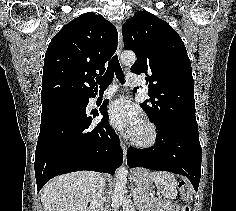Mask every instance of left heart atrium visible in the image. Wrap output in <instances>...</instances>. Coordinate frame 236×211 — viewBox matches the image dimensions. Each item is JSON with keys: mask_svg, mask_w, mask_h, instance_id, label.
<instances>
[{"mask_svg": "<svg viewBox=\"0 0 236 211\" xmlns=\"http://www.w3.org/2000/svg\"><path fill=\"white\" fill-rule=\"evenodd\" d=\"M106 115L110 123L120 130L133 133L141 125L139 110L126 97L112 101Z\"/></svg>", "mask_w": 236, "mask_h": 211, "instance_id": "39dd6f15", "label": "left heart atrium"}]
</instances>
